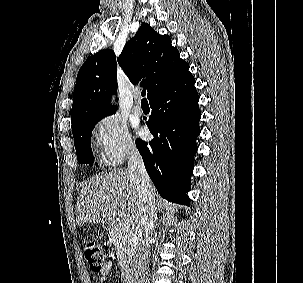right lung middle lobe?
<instances>
[{
  "mask_svg": "<svg viewBox=\"0 0 303 283\" xmlns=\"http://www.w3.org/2000/svg\"><path fill=\"white\" fill-rule=\"evenodd\" d=\"M100 120H93L83 123L72 131L75 140V148L79 163L90 164L94 162L93 153L91 150V133L95 124Z\"/></svg>",
  "mask_w": 303,
  "mask_h": 283,
  "instance_id": "right-lung-middle-lobe-1",
  "label": "right lung middle lobe"
}]
</instances>
